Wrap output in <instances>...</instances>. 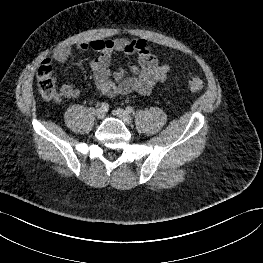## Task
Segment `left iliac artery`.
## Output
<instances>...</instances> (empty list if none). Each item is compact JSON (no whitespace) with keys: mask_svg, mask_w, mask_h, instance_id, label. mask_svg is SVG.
I'll return each mask as SVG.
<instances>
[{"mask_svg":"<svg viewBox=\"0 0 263 263\" xmlns=\"http://www.w3.org/2000/svg\"><path fill=\"white\" fill-rule=\"evenodd\" d=\"M126 111H127L128 113H134V109H133V107H131V106H128V107L126 108Z\"/></svg>","mask_w":263,"mask_h":263,"instance_id":"left-iliac-artery-1","label":"left iliac artery"}]
</instances>
